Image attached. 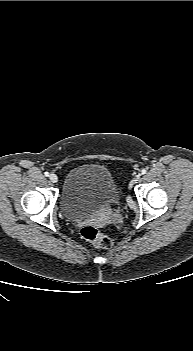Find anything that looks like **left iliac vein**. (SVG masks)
Returning <instances> with one entry per match:
<instances>
[{"mask_svg":"<svg viewBox=\"0 0 193 351\" xmlns=\"http://www.w3.org/2000/svg\"><path fill=\"white\" fill-rule=\"evenodd\" d=\"M140 177H141V174L138 173V174L135 176V180L138 181V180L140 179Z\"/></svg>","mask_w":193,"mask_h":351,"instance_id":"1","label":"left iliac vein"}]
</instances>
